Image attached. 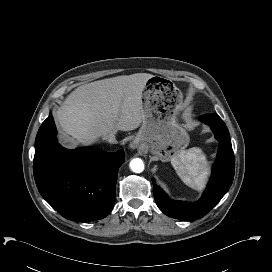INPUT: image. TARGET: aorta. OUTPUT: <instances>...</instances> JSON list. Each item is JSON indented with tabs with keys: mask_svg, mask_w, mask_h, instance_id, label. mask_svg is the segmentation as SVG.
<instances>
[{
	"mask_svg": "<svg viewBox=\"0 0 272 272\" xmlns=\"http://www.w3.org/2000/svg\"><path fill=\"white\" fill-rule=\"evenodd\" d=\"M130 168L135 173H141L144 170V163L140 158L132 159L130 162Z\"/></svg>",
	"mask_w": 272,
	"mask_h": 272,
	"instance_id": "aorta-1",
	"label": "aorta"
}]
</instances>
